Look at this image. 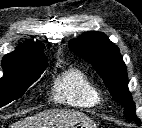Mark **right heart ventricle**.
<instances>
[{
    "label": "right heart ventricle",
    "instance_id": "e07e8e85",
    "mask_svg": "<svg viewBox=\"0 0 142 128\" xmlns=\"http://www.w3.org/2000/svg\"><path fill=\"white\" fill-rule=\"evenodd\" d=\"M53 97L59 103L77 107H95L102 100L96 85L76 68L63 71L54 80Z\"/></svg>",
    "mask_w": 142,
    "mask_h": 128
}]
</instances>
